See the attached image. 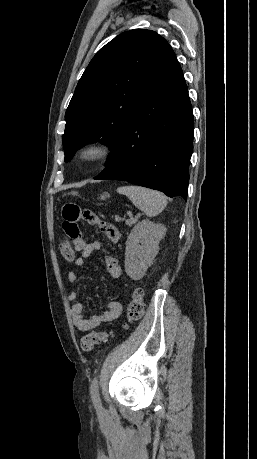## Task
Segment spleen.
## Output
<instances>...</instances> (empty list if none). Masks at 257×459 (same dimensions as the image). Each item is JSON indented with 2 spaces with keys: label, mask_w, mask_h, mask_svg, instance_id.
<instances>
[{
  "label": "spleen",
  "mask_w": 257,
  "mask_h": 459,
  "mask_svg": "<svg viewBox=\"0 0 257 459\" xmlns=\"http://www.w3.org/2000/svg\"><path fill=\"white\" fill-rule=\"evenodd\" d=\"M117 192L126 195L148 217L158 215L167 204L166 198L161 192L141 186H122L117 189Z\"/></svg>",
  "instance_id": "obj_1"
}]
</instances>
